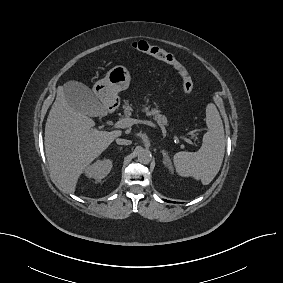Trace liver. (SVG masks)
Instances as JSON below:
<instances>
[{
    "mask_svg": "<svg viewBox=\"0 0 283 283\" xmlns=\"http://www.w3.org/2000/svg\"><path fill=\"white\" fill-rule=\"evenodd\" d=\"M95 122L74 110L66 101L63 88L49 112L45 126V153L56 182L67 193H74L79 176L122 132L100 131Z\"/></svg>",
    "mask_w": 283,
    "mask_h": 283,
    "instance_id": "1",
    "label": "liver"
}]
</instances>
